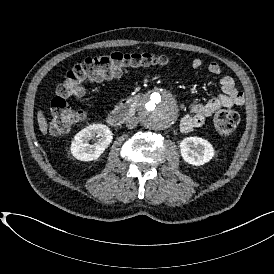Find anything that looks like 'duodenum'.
<instances>
[{"label":"duodenum","mask_w":274,"mask_h":274,"mask_svg":"<svg viewBox=\"0 0 274 274\" xmlns=\"http://www.w3.org/2000/svg\"><path fill=\"white\" fill-rule=\"evenodd\" d=\"M139 99L136 97L125 99L108 115V122L113 126H119L131 118L138 106Z\"/></svg>","instance_id":"1"}]
</instances>
